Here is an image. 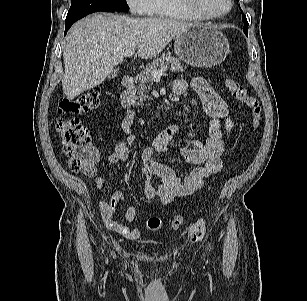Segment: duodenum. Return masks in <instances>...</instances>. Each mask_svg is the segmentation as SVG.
Returning <instances> with one entry per match:
<instances>
[{
  "label": "duodenum",
  "instance_id": "duodenum-1",
  "mask_svg": "<svg viewBox=\"0 0 307 301\" xmlns=\"http://www.w3.org/2000/svg\"><path fill=\"white\" fill-rule=\"evenodd\" d=\"M135 79L133 76H125L123 79V89L121 93V103L126 110L132 108L131 94L134 88ZM156 117L161 116V114H156Z\"/></svg>",
  "mask_w": 307,
  "mask_h": 301
}]
</instances>
